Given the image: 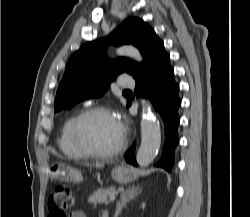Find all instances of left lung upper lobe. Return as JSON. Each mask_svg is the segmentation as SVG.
<instances>
[{
  "instance_id": "5c2ea615",
  "label": "left lung upper lobe",
  "mask_w": 250,
  "mask_h": 217,
  "mask_svg": "<svg viewBox=\"0 0 250 217\" xmlns=\"http://www.w3.org/2000/svg\"><path fill=\"white\" fill-rule=\"evenodd\" d=\"M160 42L147 23L133 17L125 20L107 42L100 39L84 44L68 61L57 89L54 111L70 109L82 100L102 96L120 73L127 72L135 77L149 64ZM109 43L135 45L144 57L143 64L128 58L108 59L106 46Z\"/></svg>"
}]
</instances>
